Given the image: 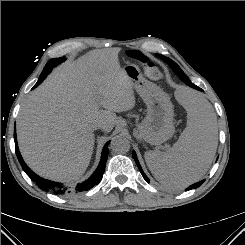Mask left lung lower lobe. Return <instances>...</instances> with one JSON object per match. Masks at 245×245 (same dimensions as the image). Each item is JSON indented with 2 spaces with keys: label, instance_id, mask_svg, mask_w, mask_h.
<instances>
[{
  "label": "left lung lower lobe",
  "instance_id": "obj_1",
  "mask_svg": "<svg viewBox=\"0 0 245 245\" xmlns=\"http://www.w3.org/2000/svg\"><path fill=\"white\" fill-rule=\"evenodd\" d=\"M180 78H181L182 81H184V82H185L187 85H189L190 87L202 91L201 88H199L198 86L194 85L192 82L187 81V79L184 78L183 76H181ZM133 157H134V160H135V162H136V164H137V166H138V168H139V170H140V172H141L143 178H144L147 182H149L148 177L145 175V173L143 172V170H142V168H141V166H140V163H139V161H138V159H137V156H136V153H135V152H133ZM203 182H204V180L199 181V182H197V183H195V184L190 185V186L186 189V191L191 190V189H195V188L201 186V185L203 184Z\"/></svg>",
  "mask_w": 245,
  "mask_h": 245
}]
</instances>
